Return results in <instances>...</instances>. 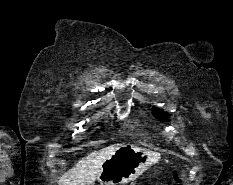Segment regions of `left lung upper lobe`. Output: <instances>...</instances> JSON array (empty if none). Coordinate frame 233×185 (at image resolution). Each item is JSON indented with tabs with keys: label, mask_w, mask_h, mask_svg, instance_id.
<instances>
[{
	"label": "left lung upper lobe",
	"mask_w": 233,
	"mask_h": 185,
	"mask_svg": "<svg viewBox=\"0 0 233 185\" xmlns=\"http://www.w3.org/2000/svg\"><path fill=\"white\" fill-rule=\"evenodd\" d=\"M153 114L156 115L157 117H159L160 119H163V118H164V115H163V113L161 112V110L154 109V110H153Z\"/></svg>",
	"instance_id": "5c2ea615"
}]
</instances>
